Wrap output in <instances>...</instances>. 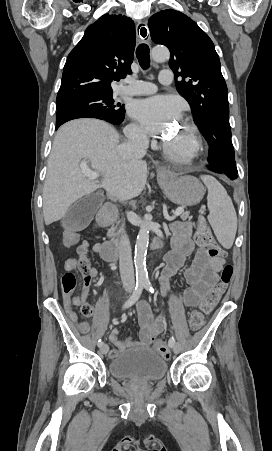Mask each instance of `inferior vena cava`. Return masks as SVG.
I'll return each mask as SVG.
<instances>
[{"mask_svg": "<svg viewBox=\"0 0 272 451\" xmlns=\"http://www.w3.org/2000/svg\"><path fill=\"white\" fill-rule=\"evenodd\" d=\"M149 146V140L143 132H133L128 136L127 144H122L120 156L123 160H130L132 156L143 158ZM119 269L124 287H134V267L132 261V251L127 233H122L119 243Z\"/></svg>", "mask_w": 272, "mask_h": 451, "instance_id": "inferior-vena-cava-1", "label": "inferior vena cava"}]
</instances>
